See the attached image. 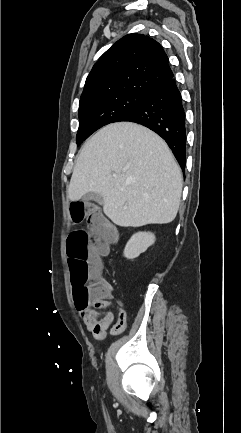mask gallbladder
Wrapping results in <instances>:
<instances>
[{
	"instance_id": "gallbladder-1",
	"label": "gallbladder",
	"mask_w": 241,
	"mask_h": 433,
	"mask_svg": "<svg viewBox=\"0 0 241 433\" xmlns=\"http://www.w3.org/2000/svg\"><path fill=\"white\" fill-rule=\"evenodd\" d=\"M83 201L84 202H89V201H96L98 203H102L103 202V198L100 194L95 193V192H88L83 196Z\"/></svg>"
}]
</instances>
